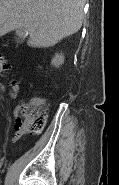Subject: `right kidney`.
Here are the masks:
<instances>
[{"instance_id": "ca27d5eb", "label": "right kidney", "mask_w": 119, "mask_h": 185, "mask_svg": "<svg viewBox=\"0 0 119 185\" xmlns=\"http://www.w3.org/2000/svg\"><path fill=\"white\" fill-rule=\"evenodd\" d=\"M64 63V55L63 54H55L54 58L51 61V64L55 67H59Z\"/></svg>"}]
</instances>
